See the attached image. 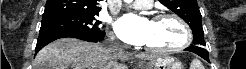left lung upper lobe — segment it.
I'll return each mask as SVG.
<instances>
[{"instance_id": "left-lung-upper-lobe-1", "label": "left lung upper lobe", "mask_w": 246, "mask_h": 69, "mask_svg": "<svg viewBox=\"0 0 246 69\" xmlns=\"http://www.w3.org/2000/svg\"><path fill=\"white\" fill-rule=\"evenodd\" d=\"M163 5L181 17L193 31V44L206 46L197 0H159Z\"/></svg>"}]
</instances>
